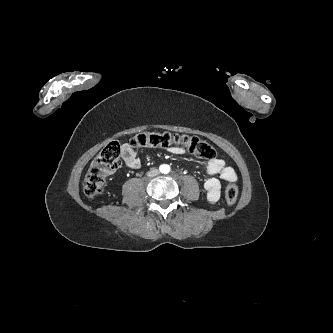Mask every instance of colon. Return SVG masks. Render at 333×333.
I'll return each instance as SVG.
<instances>
[{
  "label": "colon",
  "instance_id": "1",
  "mask_svg": "<svg viewBox=\"0 0 333 333\" xmlns=\"http://www.w3.org/2000/svg\"><path fill=\"white\" fill-rule=\"evenodd\" d=\"M130 148H160L178 145L187 149L192 155L202 160H212L216 152L207 142L198 137L180 135L169 132H143L136 134L128 141ZM122 146L119 142H111L94 159L83 182L85 195L93 199L103 189L106 177L121 166L120 154ZM238 186L229 182L226 187L225 199L229 206L236 203Z\"/></svg>",
  "mask_w": 333,
  "mask_h": 333
}]
</instances>
